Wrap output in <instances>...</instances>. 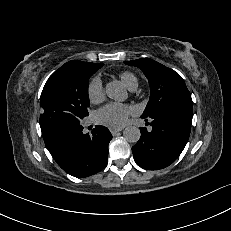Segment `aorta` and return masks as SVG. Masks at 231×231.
<instances>
[{"label":"aorta","mask_w":231,"mask_h":231,"mask_svg":"<svg viewBox=\"0 0 231 231\" xmlns=\"http://www.w3.org/2000/svg\"><path fill=\"white\" fill-rule=\"evenodd\" d=\"M106 95L116 101H124L127 98L126 89L118 82L111 81L106 85ZM123 136L126 141L130 143H136L140 139L141 132L136 126H128L123 131Z\"/></svg>","instance_id":"1"}]
</instances>
